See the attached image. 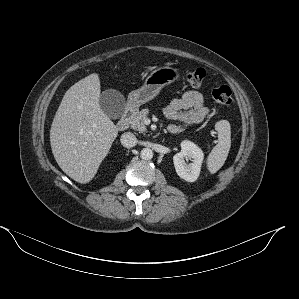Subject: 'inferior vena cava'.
<instances>
[{
    "instance_id": "obj_1",
    "label": "inferior vena cava",
    "mask_w": 299,
    "mask_h": 299,
    "mask_svg": "<svg viewBox=\"0 0 299 299\" xmlns=\"http://www.w3.org/2000/svg\"><path fill=\"white\" fill-rule=\"evenodd\" d=\"M120 141H121V144L124 147H127V148L133 147V146H135L137 144V138L131 132H125V133H123L121 135Z\"/></svg>"
}]
</instances>
